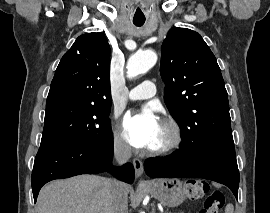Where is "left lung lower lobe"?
Instances as JSON below:
<instances>
[{
	"label": "left lung lower lobe",
	"mask_w": 270,
	"mask_h": 213,
	"mask_svg": "<svg viewBox=\"0 0 270 213\" xmlns=\"http://www.w3.org/2000/svg\"><path fill=\"white\" fill-rule=\"evenodd\" d=\"M152 178L194 177L213 180L230 188L238 197L239 171L234 143L217 146L182 140L180 150L165 157L150 158L144 163Z\"/></svg>",
	"instance_id": "0a47b994"
}]
</instances>
